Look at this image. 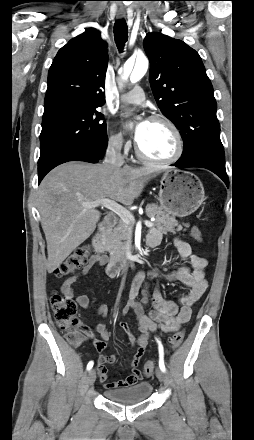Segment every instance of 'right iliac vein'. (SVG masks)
<instances>
[{
	"mask_svg": "<svg viewBox=\"0 0 254 440\" xmlns=\"http://www.w3.org/2000/svg\"><path fill=\"white\" fill-rule=\"evenodd\" d=\"M95 380H96V372L94 369H91L87 375V386L93 385Z\"/></svg>",
	"mask_w": 254,
	"mask_h": 440,
	"instance_id": "obj_1",
	"label": "right iliac vein"
}]
</instances>
